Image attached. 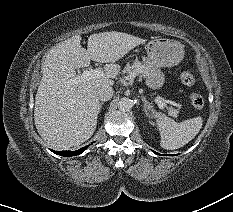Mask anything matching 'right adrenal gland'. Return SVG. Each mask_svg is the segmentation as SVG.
<instances>
[{
    "label": "right adrenal gland",
    "instance_id": "right-adrenal-gland-1",
    "mask_svg": "<svg viewBox=\"0 0 233 212\" xmlns=\"http://www.w3.org/2000/svg\"><path fill=\"white\" fill-rule=\"evenodd\" d=\"M103 104H104V102H101V103H100V107H102Z\"/></svg>",
    "mask_w": 233,
    "mask_h": 212
}]
</instances>
